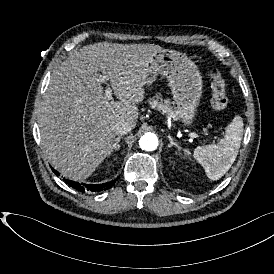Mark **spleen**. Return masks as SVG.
I'll return each mask as SVG.
<instances>
[{"mask_svg":"<svg viewBox=\"0 0 274 274\" xmlns=\"http://www.w3.org/2000/svg\"><path fill=\"white\" fill-rule=\"evenodd\" d=\"M243 132V121L235 115L232 122L225 127V136L216 144L200 146L194 149L193 159L203 167L210 180L221 178L234 163L240 148ZM190 155L189 149L183 150Z\"/></svg>","mask_w":274,"mask_h":274,"instance_id":"spleen-1","label":"spleen"}]
</instances>
